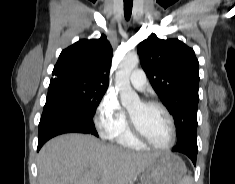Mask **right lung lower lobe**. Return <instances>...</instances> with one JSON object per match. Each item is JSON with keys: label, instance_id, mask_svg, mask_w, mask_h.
<instances>
[{"label": "right lung lower lobe", "instance_id": "right-lung-lower-lobe-1", "mask_svg": "<svg viewBox=\"0 0 235 184\" xmlns=\"http://www.w3.org/2000/svg\"><path fill=\"white\" fill-rule=\"evenodd\" d=\"M38 129L37 151L49 139L64 133L76 132L98 136L93 116L84 113L71 101L49 92Z\"/></svg>", "mask_w": 235, "mask_h": 184}]
</instances>
